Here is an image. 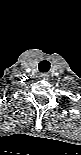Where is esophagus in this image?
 I'll use <instances>...</instances> for the list:
<instances>
[{
    "mask_svg": "<svg viewBox=\"0 0 81 155\" xmlns=\"http://www.w3.org/2000/svg\"><path fill=\"white\" fill-rule=\"evenodd\" d=\"M40 78L43 79V80H48L49 79V75L46 74V73H42V74H40Z\"/></svg>",
    "mask_w": 81,
    "mask_h": 155,
    "instance_id": "obj_1",
    "label": "esophagus"
}]
</instances>
